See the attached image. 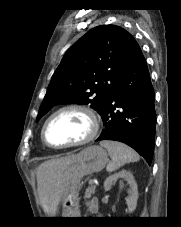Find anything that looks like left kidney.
<instances>
[{
  "mask_svg": "<svg viewBox=\"0 0 181 227\" xmlns=\"http://www.w3.org/2000/svg\"><path fill=\"white\" fill-rule=\"evenodd\" d=\"M119 178H122L125 181H127L130 187L128 192L129 196L126 199V204L128 206V212L131 213L136 209V206H137L138 190H137V184L135 182V179L130 171L121 170L118 173H115L109 176L104 182V188L106 191H109L113 183Z\"/></svg>",
  "mask_w": 181,
  "mask_h": 227,
  "instance_id": "1",
  "label": "left kidney"
}]
</instances>
